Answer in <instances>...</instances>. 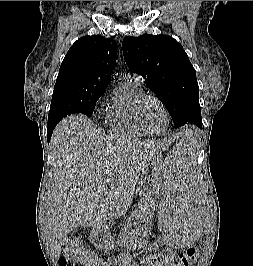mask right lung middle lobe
<instances>
[{
  "mask_svg": "<svg viewBox=\"0 0 253 266\" xmlns=\"http://www.w3.org/2000/svg\"><path fill=\"white\" fill-rule=\"evenodd\" d=\"M103 92L80 97H63L52 99L48 123L59 122L67 115L82 113L90 117L92 115L96 101Z\"/></svg>",
  "mask_w": 253,
  "mask_h": 266,
  "instance_id": "1",
  "label": "right lung middle lobe"
}]
</instances>
